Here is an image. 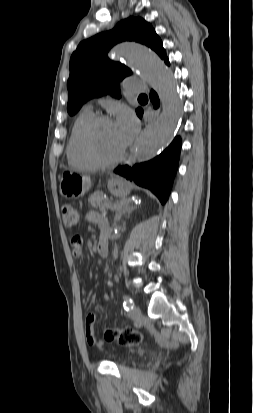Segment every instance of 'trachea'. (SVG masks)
I'll return each mask as SVG.
<instances>
[{
  "mask_svg": "<svg viewBox=\"0 0 253 413\" xmlns=\"http://www.w3.org/2000/svg\"><path fill=\"white\" fill-rule=\"evenodd\" d=\"M146 97H147V96L144 95V94H142V95L139 96V98H146Z\"/></svg>",
  "mask_w": 253,
  "mask_h": 413,
  "instance_id": "obj_1",
  "label": "trachea"
}]
</instances>
